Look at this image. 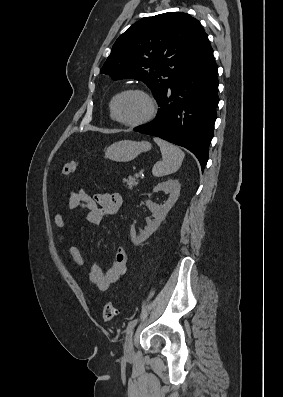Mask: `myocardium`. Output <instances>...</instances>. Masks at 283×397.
Segmentation results:
<instances>
[{"label": "myocardium", "mask_w": 283, "mask_h": 397, "mask_svg": "<svg viewBox=\"0 0 283 397\" xmlns=\"http://www.w3.org/2000/svg\"><path fill=\"white\" fill-rule=\"evenodd\" d=\"M128 93L140 94L146 99V101L148 103L149 108H148L147 114L139 120L124 121V120H121L116 114V103H117L118 99L121 96L128 94ZM110 112H111L112 118L119 124H121L123 126H127V127H138V126L148 123L155 117V115L157 113V103H156L155 98L147 90H145L143 88H139V87H132V88L122 90L114 95V97L112 98L111 103H110Z\"/></svg>", "instance_id": "obj_1"}]
</instances>
